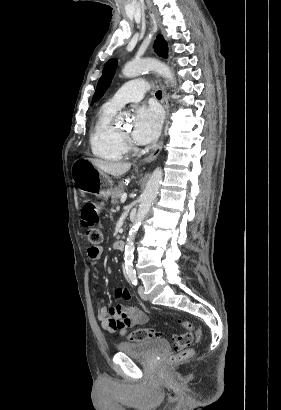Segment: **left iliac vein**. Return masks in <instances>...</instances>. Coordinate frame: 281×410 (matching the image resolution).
I'll use <instances>...</instances> for the list:
<instances>
[{
    "mask_svg": "<svg viewBox=\"0 0 281 410\" xmlns=\"http://www.w3.org/2000/svg\"><path fill=\"white\" fill-rule=\"evenodd\" d=\"M138 294H139V296H140L143 300H147V299H148L147 296H146V294L144 293V287H143L142 285H140V286L138 287Z\"/></svg>",
    "mask_w": 281,
    "mask_h": 410,
    "instance_id": "left-iliac-vein-1",
    "label": "left iliac vein"
}]
</instances>
